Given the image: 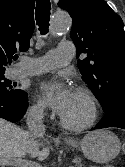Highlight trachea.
I'll list each match as a JSON object with an SVG mask.
<instances>
[{"instance_id": "3493384b", "label": "trachea", "mask_w": 125, "mask_h": 167, "mask_svg": "<svg viewBox=\"0 0 125 167\" xmlns=\"http://www.w3.org/2000/svg\"><path fill=\"white\" fill-rule=\"evenodd\" d=\"M50 10V0H37L35 16L42 35H46L49 31ZM17 58L16 56L15 59Z\"/></svg>"}]
</instances>
